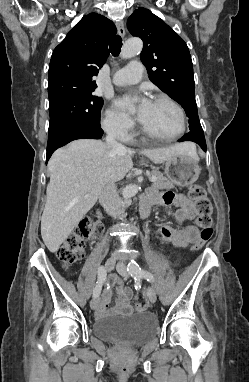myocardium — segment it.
I'll use <instances>...</instances> for the list:
<instances>
[{
    "label": "myocardium",
    "instance_id": "f54148a6",
    "mask_svg": "<svg viewBox=\"0 0 249 382\" xmlns=\"http://www.w3.org/2000/svg\"><path fill=\"white\" fill-rule=\"evenodd\" d=\"M153 102H166V103L170 104L177 111L178 116H179V121H180L179 131L173 136L162 137V136H158V135L153 134L152 132H150L148 129H146L141 124L140 128H141L142 133L151 139L161 141V142H172V141H175L178 138H180L186 129V116H185V112H184L183 108L181 107V105L178 102H176L174 99H172L166 95L156 96L153 99Z\"/></svg>",
    "mask_w": 249,
    "mask_h": 382
}]
</instances>
